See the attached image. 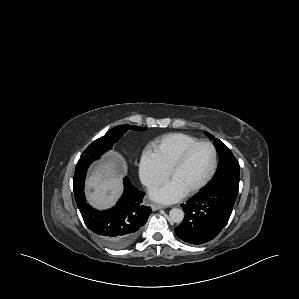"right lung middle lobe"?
<instances>
[{"label": "right lung middle lobe", "mask_w": 299, "mask_h": 299, "mask_svg": "<svg viewBox=\"0 0 299 299\" xmlns=\"http://www.w3.org/2000/svg\"><path fill=\"white\" fill-rule=\"evenodd\" d=\"M128 129L144 130L146 128L134 125L116 126L109 130L104 136L90 144L83 152V155L79 161L99 158L101 154L111 149L114 143H116Z\"/></svg>", "instance_id": "dd1d6c3e"}]
</instances>
